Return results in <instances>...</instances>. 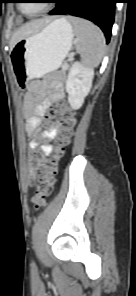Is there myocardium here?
<instances>
[{
    "instance_id": "1",
    "label": "myocardium",
    "mask_w": 136,
    "mask_h": 296,
    "mask_svg": "<svg viewBox=\"0 0 136 296\" xmlns=\"http://www.w3.org/2000/svg\"><path fill=\"white\" fill-rule=\"evenodd\" d=\"M20 9L22 10L23 13H25L26 15H29V16H33V15H35L36 13H38V12L33 13V14L28 13V12L24 9V5H23V4H20Z\"/></svg>"
}]
</instances>
